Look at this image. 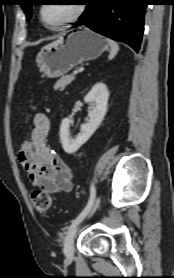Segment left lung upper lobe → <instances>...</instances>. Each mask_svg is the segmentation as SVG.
Wrapping results in <instances>:
<instances>
[{
    "label": "left lung upper lobe",
    "mask_w": 174,
    "mask_h": 278,
    "mask_svg": "<svg viewBox=\"0 0 174 278\" xmlns=\"http://www.w3.org/2000/svg\"><path fill=\"white\" fill-rule=\"evenodd\" d=\"M36 0H22L21 7L23 8L27 19L32 16V5H34Z\"/></svg>",
    "instance_id": "5c2ea615"
}]
</instances>
